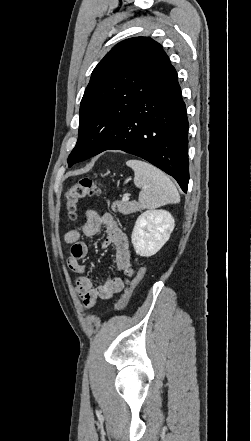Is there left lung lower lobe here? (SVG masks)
<instances>
[{"instance_id":"1","label":"left lung lower lobe","mask_w":251,"mask_h":441,"mask_svg":"<svg viewBox=\"0 0 251 441\" xmlns=\"http://www.w3.org/2000/svg\"><path fill=\"white\" fill-rule=\"evenodd\" d=\"M188 126L177 73L170 64L127 115L93 128L86 141L88 158L109 149L122 150L171 175L186 192Z\"/></svg>"}]
</instances>
